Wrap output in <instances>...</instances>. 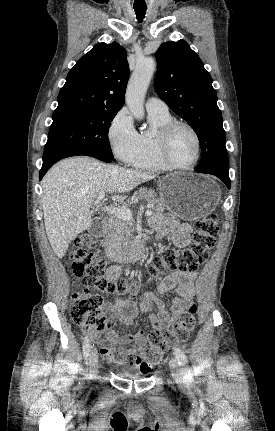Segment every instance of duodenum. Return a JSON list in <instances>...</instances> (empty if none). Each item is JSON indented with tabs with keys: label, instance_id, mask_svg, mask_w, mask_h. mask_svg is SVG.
<instances>
[{
	"label": "duodenum",
	"instance_id": "obj_1",
	"mask_svg": "<svg viewBox=\"0 0 275 431\" xmlns=\"http://www.w3.org/2000/svg\"><path fill=\"white\" fill-rule=\"evenodd\" d=\"M106 227L107 221L105 219H101L99 221V228L96 230V234L100 235ZM145 244L144 239H136L131 241L126 248H110L108 250V256L115 262L132 263L142 257L145 251Z\"/></svg>",
	"mask_w": 275,
	"mask_h": 431
}]
</instances>
